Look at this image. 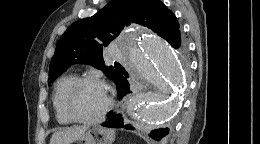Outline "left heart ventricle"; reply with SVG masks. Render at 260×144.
<instances>
[{
    "mask_svg": "<svg viewBox=\"0 0 260 144\" xmlns=\"http://www.w3.org/2000/svg\"><path fill=\"white\" fill-rule=\"evenodd\" d=\"M106 103L103 88L94 83L84 84L77 91L72 108L82 118H91L100 113Z\"/></svg>",
    "mask_w": 260,
    "mask_h": 144,
    "instance_id": "1",
    "label": "left heart ventricle"
}]
</instances>
